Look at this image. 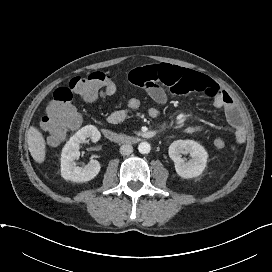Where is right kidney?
<instances>
[{"label": "right kidney", "instance_id": "1", "mask_svg": "<svg viewBox=\"0 0 272 272\" xmlns=\"http://www.w3.org/2000/svg\"><path fill=\"white\" fill-rule=\"evenodd\" d=\"M100 137L101 134L95 126L87 125L69 139L61 153V176L65 180L87 182L98 175L101 169L98 161L90 160L87 165L79 167L75 160L80 157V144L86 143L87 138L97 142Z\"/></svg>", "mask_w": 272, "mask_h": 272}]
</instances>
